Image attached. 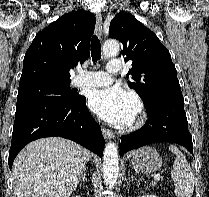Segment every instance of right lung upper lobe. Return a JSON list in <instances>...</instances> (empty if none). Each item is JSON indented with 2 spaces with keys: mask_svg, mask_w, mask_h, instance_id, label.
I'll return each mask as SVG.
<instances>
[{
  "mask_svg": "<svg viewBox=\"0 0 209 197\" xmlns=\"http://www.w3.org/2000/svg\"><path fill=\"white\" fill-rule=\"evenodd\" d=\"M95 16L84 10L64 14L39 32L28 48L19 86L41 81H70L69 71L90 55Z\"/></svg>",
  "mask_w": 209,
  "mask_h": 197,
  "instance_id": "right-lung-upper-lobe-1",
  "label": "right lung upper lobe"
}]
</instances>
